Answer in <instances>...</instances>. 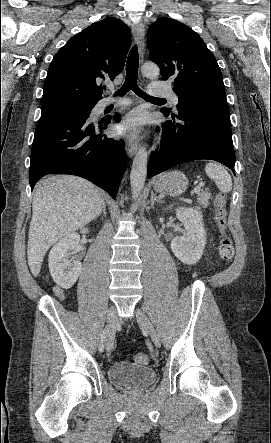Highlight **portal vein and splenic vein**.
Listing matches in <instances>:
<instances>
[{
  "instance_id": "18ae733b",
  "label": "portal vein and splenic vein",
  "mask_w": 271,
  "mask_h": 443,
  "mask_svg": "<svg viewBox=\"0 0 271 443\" xmlns=\"http://www.w3.org/2000/svg\"><path fill=\"white\" fill-rule=\"evenodd\" d=\"M204 184H205V182H200V184L195 183V184L193 185L191 191H190V194H191L192 196H195V195L199 194V192H200V186H204Z\"/></svg>"
}]
</instances>
